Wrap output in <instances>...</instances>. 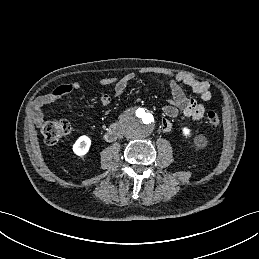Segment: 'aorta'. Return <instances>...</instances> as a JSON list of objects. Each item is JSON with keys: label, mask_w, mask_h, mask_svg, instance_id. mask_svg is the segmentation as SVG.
<instances>
[{"label": "aorta", "mask_w": 259, "mask_h": 259, "mask_svg": "<svg viewBox=\"0 0 259 259\" xmlns=\"http://www.w3.org/2000/svg\"><path fill=\"white\" fill-rule=\"evenodd\" d=\"M155 120L152 112L146 108H134L126 113L120 127L125 135L133 139L148 137L154 130Z\"/></svg>", "instance_id": "aorta-1"}]
</instances>
